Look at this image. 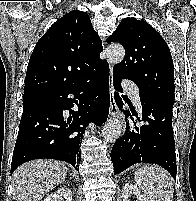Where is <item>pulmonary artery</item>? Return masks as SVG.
Wrapping results in <instances>:
<instances>
[{"mask_svg":"<svg viewBox=\"0 0 196 201\" xmlns=\"http://www.w3.org/2000/svg\"><path fill=\"white\" fill-rule=\"evenodd\" d=\"M122 86L124 89L128 90L131 94L132 98L135 100L136 104L140 106V99H139V90L138 87L130 82V81H123Z\"/></svg>","mask_w":196,"mask_h":201,"instance_id":"pulmonary-artery-1","label":"pulmonary artery"}]
</instances>
